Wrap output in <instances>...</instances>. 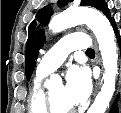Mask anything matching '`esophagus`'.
Masks as SVG:
<instances>
[{"label": "esophagus", "instance_id": "34e87169", "mask_svg": "<svg viewBox=\"0 0 121 113\" xmlns=\"http://www.w3.org/2000/svg\"><path fill=\"white\" fill-rule=\"evenodd\" d=\"M100 62V64H101V61H99ZM99 86H100V79L96 82V84H95V92H94V94H96L97 93V91H98V89H99Z\"/></svg>", "mask_w": 121, "mask_h": 113}]
</instances>
